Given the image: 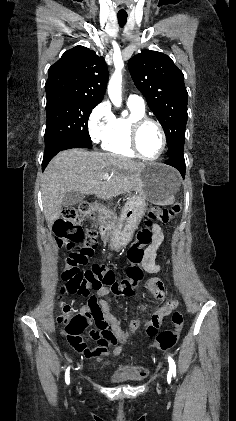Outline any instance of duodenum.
I'll return each mask as SVG.
<instances>
[{
    "label": "duodenum",
    "mask_w": 236,
    "mask_h": 421,
    "mask_svg": "<svg viewBox=\"0 0 236 421\" xmlns=\"http://www.w3.org/2000/svg\"><path fill=\"white\" fill-rule=\"evenodd\" d=\"M79 210L83 218L86 220H93L97 216L98 205L93 201L84 200L79 205ZM106 338L108 342H113L115 338H121V336L119 335L118 330L112 328L111 331L106 332Z\"/></svg>",
    "instance_id": "1"
}]
</instances>
